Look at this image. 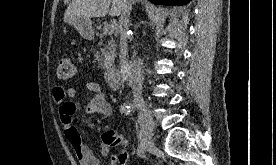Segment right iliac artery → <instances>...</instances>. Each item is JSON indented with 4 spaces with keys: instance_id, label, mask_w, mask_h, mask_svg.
I'll use <instances>...</instances> for the list:
<instances>
[{
    "instance_id": "82829eb1",
    "label": "right iliac artery",
    "mask_w": 276,
    "mask_h": 165,
    "mask_svg": "<svg viewBox=\"0 0 276 165\" xmlns=\"http://www.w3.org/2000/svg\"><path fill=\"white\" fill-rule=\"evenodd\" d=\"M132 109H133V106L131 104H123L120 107V112L122 114L128 115V114H130ZM138 123H139L138 133H139V138H140L138 155L140 157H142V156H144L145 151H146L147 131H146V126H145V121L141 116H139V118H138Z\"/></svg>"
}]
</instances>
